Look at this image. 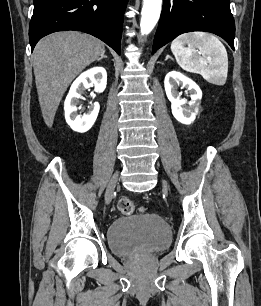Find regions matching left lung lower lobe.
I'll return each instance as SVG.
<instances>
[{
	"mask_svg": "<svg viewBox=\"0 0 261 306\" xmlns=\"http://www.w3.org/2000/svg\"><path fill=\"white\" fill-rule=\"evenodd\" d=\"M191 31L214 33L234 50L235 22L230 0H164L152 53Z\"/></svg>",
	"mask_w": 261,
	"mask_h": 306,
	"instance_id": "0a47b994",
	"label": "left lung lower lobe"
}]
</instances>
